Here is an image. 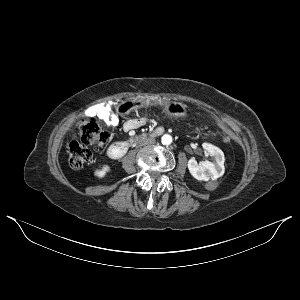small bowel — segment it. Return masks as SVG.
I'll return each instance as SVG.
<instances>
[{
  "mask_svg": "<svg viewBox=\"0 0 300 300\" xmlns=\"http://www.w3.org/2000/svg\"><path fill=\"white\" fill-rule=\"evenodd\" d=\"M85 115L91 116V117L96 116L99 118L106 119L107 115H108V111L100 105H93V106L87 108V110L85 111ZM142 124H143L142 119H132L126 123V128L134 129V128L140 127Z\"/></svg>",
  "mask_w": 300,
  "mask_h": 300,
  "instance_id": "1",
  "label": "small bowel"
}]
</instances>
